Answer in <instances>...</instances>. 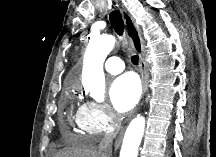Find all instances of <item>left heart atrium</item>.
<instances>
[{
	"instance_id": "obj_1",
	"label": "left heart atrium",
	"mask_w": 216,
	"mask_h": 157,
	"mask_svg": "<svg viewBox=\"0 0 216 157\" xmlns=\"http://www.w3.org/2000/svg\"><path fill=\"white\" fill-rule=\"evenodd\" d=\"M141 94L137 77L127 73L117 77L111 84L109 95L113 107L119 113H127L137 104Z\"/></svg>"
}]
</instances>
